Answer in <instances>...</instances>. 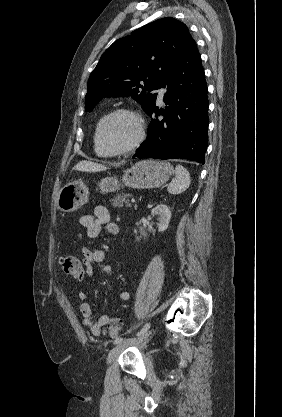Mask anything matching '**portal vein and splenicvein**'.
<instances>
[{
  "instance_id": "portal-vein-and-splenic-vein-1",
  "label": "portal vein and splenic vein",
  "mask_w": 282,
  "mask_h": 417,
  "mask_svg": "<svg viewBox=\"0 0 282 417\" xmlns=\"http://www.w3.org/2000/svg\"><path fill=\"white\" fill-rule=\"evenodd\" d=\"M132 202H133V203H136V202H137V199H136V198H133V199H132Z\"/></svg>"
}]
</instances>
